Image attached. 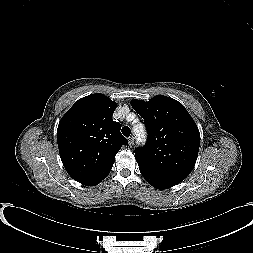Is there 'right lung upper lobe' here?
<instances>
[{
  "instance_id": "cb5924a9",
  "label": "right lung upper lobe",
  "mask_w": 253,
  "mask_h": 253,
  "mask_svg": "<svg viewBox=\"0 0 253 253\" xmlns=\"http://www.w3.org/2000/svg\"><path fill=\"white\" fill-rule=\"evenodd\" d=\"M117 103L103 94L79 99L62 117L57 129L61 160L77 182L94 186L111 171L115 155L127 139L112 120Z\"/></svg>"
}]
</instances>
